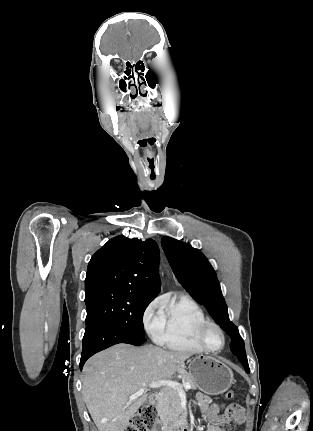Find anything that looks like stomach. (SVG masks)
Segmentation results:
<instances>
[{"label":"stomach","instance_id":"1","mask_svg":"<svg viewBox=\"0 0 313 431\" xmlns=\"http://www.w3.org/2000/svg\"><path fill=\"white\" fill-rule=\"evenodd\" d=\"M188 374L197 387L209 395L226 392L234 383L232 370L222 361L211 356H197L188 366Z\"/></svg>","mask_w":313,"mask_h":431}]
</instances>
